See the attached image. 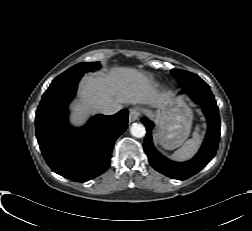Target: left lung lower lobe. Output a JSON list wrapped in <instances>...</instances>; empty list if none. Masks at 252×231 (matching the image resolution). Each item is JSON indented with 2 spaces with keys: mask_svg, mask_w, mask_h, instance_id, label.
Returning <instances> with one entry per match:
<instances>
[{
  "mask_svg": "<svg viewBox=\"0 0 252 231\" xmlns=\"http://www.w3.org/2000/svg\"><path fill=\"white\" fill-rule=\"evenodd\" d=\"M180 93H187L195 103L202 104L203 113L208 121V132L199 152L189 161L178 163L171 161L155 150L152 142L151 130L153 122L145 117L141 119L148 133L144 139V151L152 167L158 172L175 179H187L198 173L214 157L220 137V119L218 107L210 87L194 85L182 88Z\"/></svg>",
  "mask_w": 252,
  "mask_h": 231,
  "instance_id": "left-lung-lower-lobe-1",
  "label": "left lung lower lobe"
}]
</instances>
